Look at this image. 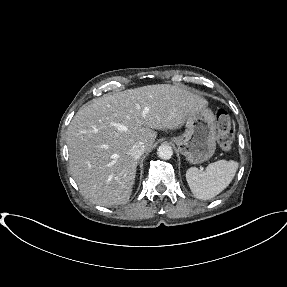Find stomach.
<instances>
[{
  "instance_id": "stomach-1",
  "label": "stomach",
  "mask_w": 287,
  "mask_h": 287,
  "mask_svg": "<svg viewBox=\"0 0 287 287\" xmlns=\"http://www.w3.org/2000/svg\"><path fill=\"white\" fill-rule=\"evenodd\" d=\"M216 136L215 115L210 109L203 107L189 116L185 132L171 140L188 162L200 164L213 156L216 149Z\"/></svg>"
}]
</instances>
